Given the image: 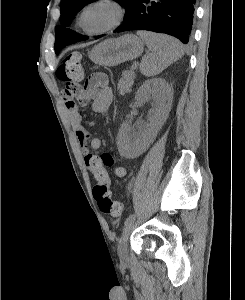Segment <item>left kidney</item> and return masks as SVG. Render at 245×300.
<instances>
[{"label": "left kidney", "mask_w": 245, "mask_h": 300, "mask_svg": "<svg viewBox=\"0 0 245 300\" xmlns=\"http://www.w3.org/2000/svg\"><path fill=\"white\" fill-rule=\"evenodd\" d=\"M135 99L141 105L153 100L149 124L139 127L138 131L126 122L118 134V149L122 155L134 156L156 136L171 109L173 93L171 87L161 78L146 80L138 89ZM129 118V115L127 116Z\"/></svg>", "instance_id": "obj_1"}]
</instances>
